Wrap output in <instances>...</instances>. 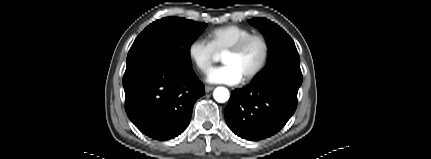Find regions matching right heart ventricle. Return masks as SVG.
I'll return each instance as SVG.
<instances>
[{"instance_id":"e07e8e85","label":"right heart ventricle","mask_w":431,"mask_h":159,"mask_svg":"<svg viewBox=\"0 0 431 159\" xmlns=\"http://www.w3.org/2000/svg\"><path fill=\"white\" fill-rule=\"evenodd\" d=\"M252 34V31L248 28L239 25H225L213 29L209 33V38L216 53H224L239 41Z\"/></svg>"}]
</instances>
